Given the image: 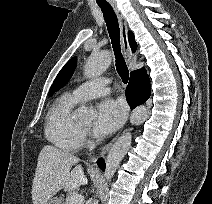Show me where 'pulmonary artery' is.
<instances>
[{
    "label": "pulmonary artery",
    "instance_id": "pulmonary-artery-1",
    "mask_svg": "<svg viewBox=\"0 0 212 204\" xmlns=\"http://www.w3.org/2000/svg\"><path fill=\"white\" fill-rule=\"evenodd\" d=\"M110 91V81L106 78H96L79 85L72 95L79 101L84 102L88 99L100 97Z\"/></svg>",
    "mask_w": 212,
    "mask_h": 204
}]
</instances>
